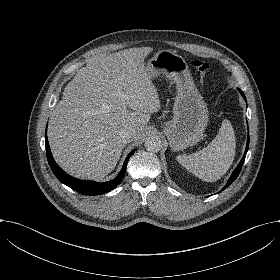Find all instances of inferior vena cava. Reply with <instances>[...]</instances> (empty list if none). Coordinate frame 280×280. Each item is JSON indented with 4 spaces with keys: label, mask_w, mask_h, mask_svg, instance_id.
I'll return each mask as SVG.
<instances>
[{
    "label": "inferior vena cava",
    "mask_w": 280,
    "mask_h": 280,
    "mask_svg": "<svg viewBox=\"0 0 280 280\" xmlns=\"http://www.w3.org/2000/svg\"><path fill=\"white\" fill-rule=\"evenodd\" d=\"M118 135L125 144L130 143L134 138V134L128 130H121Z\"/></svg>",
    "instance_id": "obj_1"
}]
</instances>
